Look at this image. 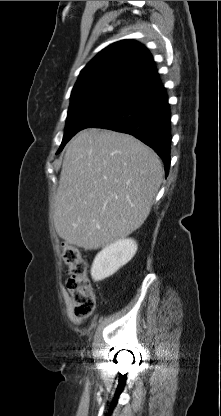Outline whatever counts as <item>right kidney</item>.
<instances>
[{
	"mask_svg": "<svg viewBox=\"0 0 221 416\" xmlns=\"http://www.w3.org/2000/svg\"><path fill=\"white\" fill-rule=\"evenodd\" d=\"M137 244L133 239H119L107 245L95 257L91 276L94 281H101L127 264L136 254Z\"/></svg>",
	"mask_w": 221,
	"mask_h": 416,
	"instance_id": "obj_1",
	"label": "right kidney"
}]
</instances>
